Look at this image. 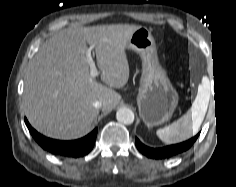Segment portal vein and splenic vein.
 <instances>
[{
    "label": "portal vein and splenic vein",
    "instance_id": "1",
    "mask_svg": "<svg viewBox=\"0 0 236 187\" xmlns=\"http://www.w3.org/2000/svg\"><path fill=\"white\" fill-rule=\"evenodd\" d=\"M93 48H94V45L89 47L86 50V57H87V62L90 67V75L92 78H95V77L99 76V72H98L95 62L93 61L92 56H91V51L93 50Z\"/></svg>",
    "mask_w": 236,
    "mask_h": 187
}]
</instances>
